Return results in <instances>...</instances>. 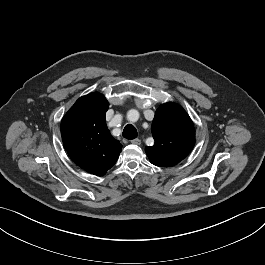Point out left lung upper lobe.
<instances>
[{"label":"left lung upper lobe","instance_id":"1","mask_svg":"<svg viewBox=\"0 0 265 265\" xmlns=\"http://www.w3.org/2000/svg\"><path fill=\"white\" fill-rule=\"evenodd\" d=\"M153 146L145 151L152 164L170 167L178 164L193 149L195 129L185 110L172 102L161 105L152 122Z\"/></svg>","mask_w":265,"mask_h":265}]
</instances>
